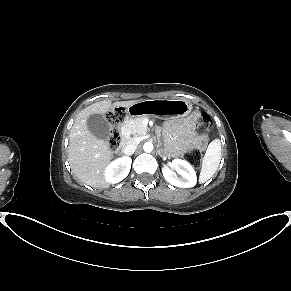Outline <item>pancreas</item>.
<instances>
[{"mask_svg": "<svg viewBox=\"0 0 291 291\" xmlns=\"http://www.w3.org/2000/svg\"><path fill=\"white\" fill-rule=\"evenodd\" d=\"M146 118L147 117H138L130 120L123 126L122 133H124L125 135L132 134L136 137L145 134L148 128L143 124V121Z\"/></svg>", "mask_w": 291, "mask_h": 291, "instance_id": "cf45deb5", "label": "pancreas"}]
</instances>
